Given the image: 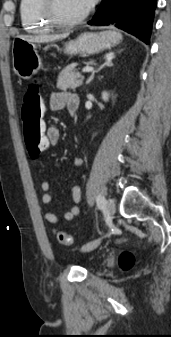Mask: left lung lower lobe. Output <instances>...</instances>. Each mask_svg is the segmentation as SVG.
I'll return each mask as SVG.
<instances>
[{"mask_svg": "<svg viewBox=\"0 0 171 337\" xmlns=\"http://www.w3.org/2000/svg\"><path fill=\"white\" fill-rule=\"evenodd\" d=\"M156 0H102L89 25H113L149 44Z\"/></svg>", "mask_w": 171, "mask_h": 337, "instance_id": "0a47b994", "label": "left lung lower lobe"}]
</instances>
